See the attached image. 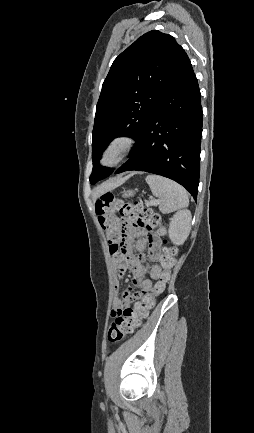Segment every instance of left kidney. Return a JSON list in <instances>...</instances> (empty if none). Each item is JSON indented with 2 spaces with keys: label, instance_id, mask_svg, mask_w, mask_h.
Listing matches in <instances>:
<instances>
[{
  "label": "left kidney",
  "instance_id": "left-kidney-1",
  "mask_svg": "<svg viewBox=\"0 0 254 433\" xmlns=\"http://www.w3.org/2000/svg\"><path fill=\"white\" fill-rule=\"evenodd\" d=\"M191 212L180 210L170 219L169 238L175 245H183L191 229Z\"/></svg>",
  "mask_w": 254,
  "mask_h": 433
}]
</instances>
